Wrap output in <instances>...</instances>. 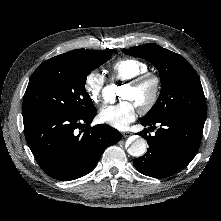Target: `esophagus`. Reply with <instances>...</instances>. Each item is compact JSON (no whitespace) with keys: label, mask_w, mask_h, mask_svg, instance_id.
<instances>
[{"label":"esophagus","mask_w":221,"mask_h":221,"mask_svg":"<svg viewBox=\"0 0 221 221\" xmlns=\"http://www.w3.org/2000/svg\"><path fill=\"white\" fill-rule=\"evenodd\" d=\"M131 135H132V133L129 132V131H126V132H123V133H122V136H123L124 138H127V137H129V136H131Z\"/></svg>","instance_id":"esophagus-1"}]
</instances>
